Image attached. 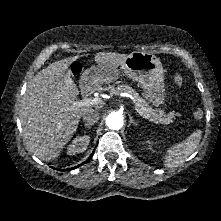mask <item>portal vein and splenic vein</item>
Returning <instances> with one entry per match:
<instances>
[{
	"label": "portal vein and splenic vein",
	"instance_id": "portal-vein-and-splenic-vein-1",
	"mask_svg": "<svg viewBox=\"0 0 221 221\" xmlns=\"http://www.w3.org/2000/svg\"><path fill=\"white\" fill-rule=\"evenodd\" d=\"M71 108L72 109H76V108H82V107H89V106H93V105H97L101 103V99L100 98H85L81 101H71ZM136 113H138L140 116H142L144 119H147L151 122L157 123L156 121H154L153 119H151L150 117L146 116L145 114H143V112H141L140 110H138L137 107H134Z\"/></svg>",
	"mask_w": 221,
	"mask_h": 221
}]
</instances>
